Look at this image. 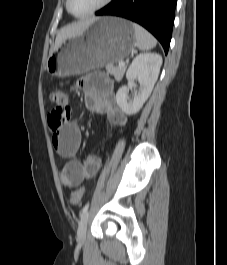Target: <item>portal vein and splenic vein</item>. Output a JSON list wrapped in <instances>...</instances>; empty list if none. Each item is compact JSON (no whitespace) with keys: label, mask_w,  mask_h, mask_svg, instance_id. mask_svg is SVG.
Returning <instances> with one entry per match:
<instances>
[{"label":"portal vein and splenic vein","mask_w":227,"mask_h":265,"mask_svg":"<svg viewBox=\"0 0 227 265\" xmlns=\"http://www.w3.org/2000/svg\"><path fill=\"white\" fill-rule=\"evenodd\" d=\"M119 67H123V66H125V62H123V61H119Z\"/></svg>","instance_id":"obj_1"}]
</instances>
